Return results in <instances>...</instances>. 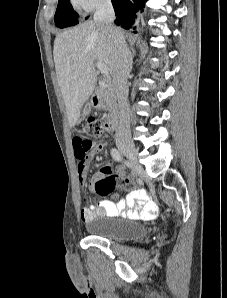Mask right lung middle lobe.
I'll return each instance as SVG.
<instances>
[{"instance_id": "1", "label": "right lung middle lobe", "mask_w": 227, "mask_h": 298, "mask_svg": "<svg viewBox=\"0 0 227 298\" xmlns=\"http://www.w3.org/2000/svg\"><path fill=\"white\" fill-rule=\"evenodd\" d=\"M56 26L65 28L79 23L78 15L74 12L70 0H59L55 13Z\"/></svg>"}]
</instances>
